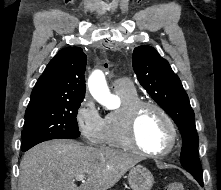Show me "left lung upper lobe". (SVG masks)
I'll return each mask as SVG.
<instances>
[{
	"mask_svg": "<svg viewBox=\"0 0 221 190\" xmlns=\"http://www.w3.org/2000/svg\"><path fill=\"white\" fill-rule=\"evenodd\" d=\"M134 72L139 83L172 117L182 134L181 164L193 176H203L198 157V135L194 112L179 77L167 60L150 46H139L132 55Z\"/></svg>",
	"mask_w": 221,
	"mask_h": 190,
	"instance_id": "left-lung-upper-lobe-1",
	"label": "left lung upper lobe"
}]
</instances>
